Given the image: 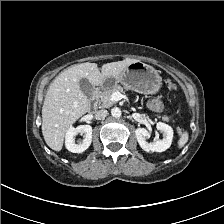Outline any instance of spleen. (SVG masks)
<instances>
[{
	"instance_id": "3e777b00",
	"label": "spleen",
	"mask_w": 224,
	"mask_h": 224,
	"mask_svg": "<svg viewBox=\"0 0 224 224\" xmlns=\"http://www.w3.org/2000/svg\"><path fill=\"white\" fill-rule=\"evenodd\" d=\"M188 138H189V136H188L187 132L182 133L178 140V147L182 148L187 143Z\"/></svg>"
}]
</instances>
